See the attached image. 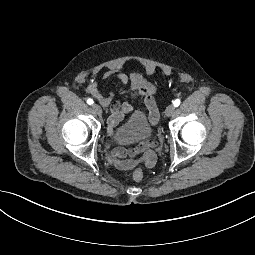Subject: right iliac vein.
<instances>
[{"mask_svg": "<svg viewBox=\"0 0 255 255\" xmlns=\"http://www.w3.org/2000/svg\"><path fill=\"white\" fill-rule=\"evenodd\" d=\"M92 110L97 114L101 115L102 114V109L98 104H93L92 105Z\"/></svg>", "mask_w": 255, "mask_h": 255, "instance_id": "obj_1", "label": "right iliac vein"}]
</instances>
